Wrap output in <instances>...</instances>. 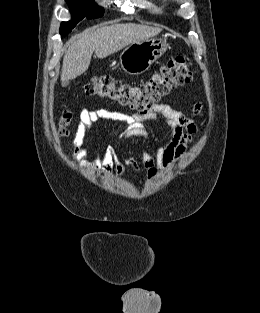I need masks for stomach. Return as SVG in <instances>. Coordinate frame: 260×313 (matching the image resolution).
<instances>
[{
    "instance_id": "obj_1",
    "label": "stomach",
    "mask_w": 260,
    "mask_h": 313,
    "mask_svg": "<svg viewBox=\"0 0 260 313\" xmlns=\"http://www.w3.org/2000/svg\"><path fill=\"white\" fill-rule=\"evenodd\" d=\"M167 48L166 40L159 38L134 42L121 53V67L130 75H140L148 70Z\"/></svg>"
}]
</instances>
